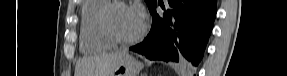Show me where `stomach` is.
Segmentation results:
<instances>
[{
  "mask_svg": "<svg viewBox=\"0 0 287 76\" xmlns=\"http://www.w3.org/2000/svg\"><path fill=\"white\" fill-rule=\"evenodd\" d=\"M143 65L130 55H125L111 76H137Z\"/></svg>",
  "mask_w": 287,
  "mask_h": 76,
  "instance_id": "1",
  "label": "stomach"
}]
</instances>
